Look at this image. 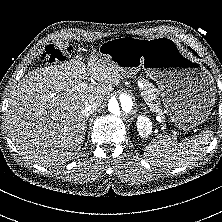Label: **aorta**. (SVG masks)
Instances as JSON below:
<instances>
[{
	"label": "aorta",
	"mask_w": 222,
	"mask_h": 222,
	"mask_svg": "<svg viewBox=\"0 0 222 222\" xmlns=\"http://www.w3.org/2000/svg\"><path fill=\"white\" fill-rule=\"evenodd\" d=\"M134 102L131 96L121 94L118 99L111 98L108 102V110L114 117L121 118L132 112Z\"/></svg>",
	"instance_id": "obj_1"
}]
</instances>
